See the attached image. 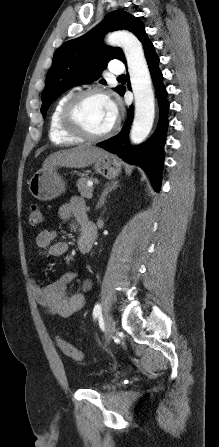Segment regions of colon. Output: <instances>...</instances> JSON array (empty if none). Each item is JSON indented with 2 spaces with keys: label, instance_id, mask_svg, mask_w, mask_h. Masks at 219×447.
I'll return each mask as SVG.
<instances>
[{
  "label": "colon",
  "instance_id": "colon-1",
  "mask_svg": "<svg viewBox=\"0 0 219 447\" xmlns=\"http://www.w3.org/2000/svg\"><path fill=\"white\" fill-rule=\"evenodd\" d=\"M41 221H42V212L40 206L35 203L31 204L29 206V224L33 227H36L41 223ZM57 345L63 352V354L68 358L74 361H81L83 359L82 352L72 344L65 341L64 339L58 337Z\"/></svg>",
  "mask_w": 219,
  "mask_h": 447
}]
</instances>
